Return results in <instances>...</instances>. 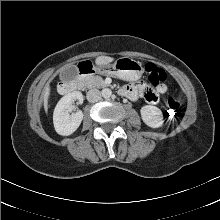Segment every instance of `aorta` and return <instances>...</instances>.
I'll use <instances>...</instances> for the list:
<instances>
[{
	"instance_id": "obj_1",
	"label": "aorta",
	"mask_w": 220,
	"mask_h": 220,
	"mask_svg": "<svg viewBox=\"0 0 220 220\" xmlns=\"http://www.w3.org/2000/svg\"><path fill=\"white\" fill-rule=\"evenodd\" d=\"M101 94H102V96H103L104 98L107 99V98H110V97H111L112 91H111V89H109V88H105V89L102 90Z\"/></svg>"
}]
</instances>
